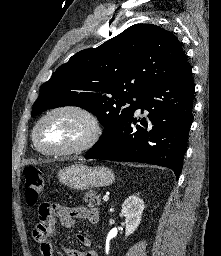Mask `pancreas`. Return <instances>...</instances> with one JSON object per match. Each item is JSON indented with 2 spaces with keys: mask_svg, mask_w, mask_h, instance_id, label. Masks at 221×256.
Instances as JSON below:
<instances>
[{
  "mask_svg": "<svg viewBox=\"0 0 221 256\" xmlns=\"http://www.w3.org/2000/svg\"><path fill=\"white\" fill-rule=\"evenodd\" d=\"M83 200L88 203L89 207L99 206L101 204V197L95 191H89L85 194Z\"/></svg>",
  "mask_w": 221,
  "mask_h": 256,
  "instance_id": "cf45deb5",
  "label": "pancreas"
}]
</instances>
